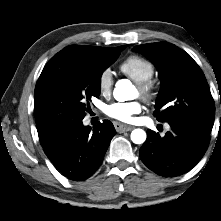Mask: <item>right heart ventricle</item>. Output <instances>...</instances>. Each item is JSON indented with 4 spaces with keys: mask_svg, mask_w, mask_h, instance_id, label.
Here are the masks:
<instances>
[{
    "mask_svg": "<svg viewBox=\"0 0 221 221\" xmlns=\"http://www.w3.org/2000/svg\"><path fill=\"white\" fill-rule=\"evenodd\" d=\"M120 70L135 82L149 80L154 74L153 64L147 59L137 55L127 57L120 64Z\"/></svg>",
    "mask_w": 221,
    "mask_h": 221,
    "instance_id": "1",
    "label": "right heart ventricle"
}]
</instances>
